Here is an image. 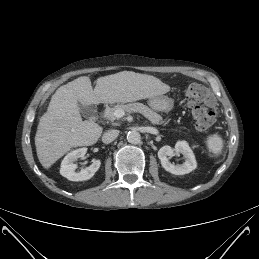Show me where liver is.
Listing matches in <instances>:
<instances>
[{"mask_svg":"<svg viewBox=\"0 0 259 259\" xmlns=\"http://www.w3.org/2000/svg\"><path fill=\"white\" fill-rule=\"evenodd\" d=\"M169 90L158 78L132 71L99 77L94 90L86 76L60 86L40 118L35 135L41 165L48 169L71 148L93 145L101 136L102 127L92 120H82L78 103L84 106L126 103L156 97Z\"/></svg>","mask_w":259,"mask_h":259,"instance_id":"obj_1","label":"liver"}]
</instances>
